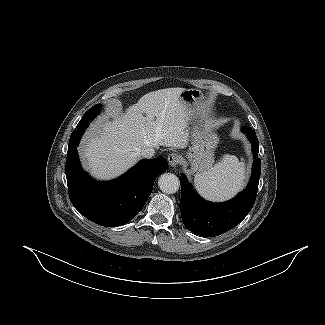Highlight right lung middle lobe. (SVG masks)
<instances>
[{
	"label": "right lung middle lobe",
	"instance_id": "obj_1",
	"mask_svg": "<svg viewBox=\"0 0 325 325\" xmlns=\"http://www.w3.org/2000/svg\"><path fill=\"white\" fill-rule=\"evenodd\" d=\"M101 108V105H94L92 108H90L82 117V119L80 120V122L77 125V128L75 131H77L78 129H80L81 126H84V128L89 125V122L91 120H93L97 114L99 113Z\"/></svg>",
	"mask_w": 325,
	"mask_h": 325
}]
</instances>
